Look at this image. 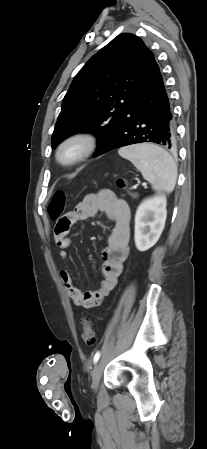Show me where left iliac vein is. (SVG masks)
<instances>
[{"label": "left iliac vein", "instance_id": "left-iliac-vein-1", "mask_svg": "<svg viewBox=\"0 0 207 449\" xmlns=\"http://www.w3.org/2000/svg\"><path fill=\"white\" fill-rule=\"evenodd\" d=\"M103 371V365L101 362L97 363L93 370L91 371V378H92V388L93 390H97L99 387L100 379L102 376Z\"/></svg>", "mask_w": 207, "mask_h": 449}]
</instances>
